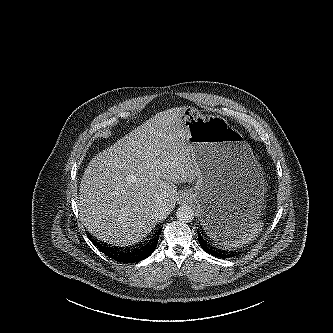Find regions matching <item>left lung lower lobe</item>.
<instances>
[{"label": "left lung lower lobe", "instance_id": "0a47b994", "mask_svg": "<svg viewBox=\"0 0 333 333\" xmlns=\"http://www.w3.org/2000/svg\"><path fill=\"white\" fill-rule=\"evenodd\" d=\"M223 230L219 227V224H207L204 228L199 229L198 241L204 251L212 256L219 258H230L236 256L237 252L226 250L225 247L219 244L223 237Z\"/></svg>", "mask_w": 333, "mask_h": 333}]
</instances>
